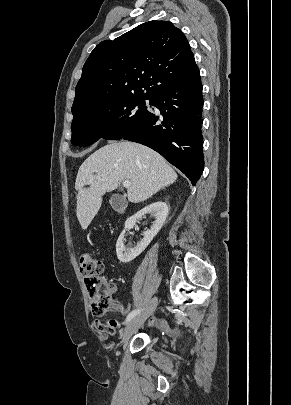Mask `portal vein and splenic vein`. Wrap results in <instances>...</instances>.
<instances>
[{
	"label": "portal vein and splenic vein",
	"instance_id": "obj_1",
	"mask_svg": "<svg viewBox=\"0 0 291 405\" xmlns=\"http://www.w3.org/2000/svg\"><path fill=\"white\" fill-rule=\"evenodd\" d=\"M123 187H125V188H129L130 187V185H131V182L130 181H128V180H125V181H123Z\"/></svg>",
	"mask_w": 291,
	"mask_h": 405
}]
</instances>
